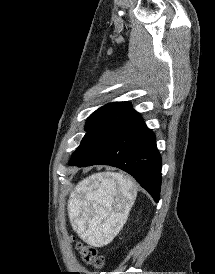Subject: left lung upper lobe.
Segmentation results:
<instances>
[{
  "label": "left lung upper lobe",
  "mask_w": 215,
  "mask_h": 274,
  "mask_svg": "<svg viewBox=\"0 0 215 274\" xmlns=\"http://www.w3.org/2000/svg\"><path fill=\"white\" fill-rule=\"evenodd\" d=\"M138 114L128 102H113L94 111L87 119L86 134L72 154L70 162H78L92 152L116 128Z\"/></svg>",
  "instance_id": "left-lung-upper-lobe-1"
}]
</instances>
